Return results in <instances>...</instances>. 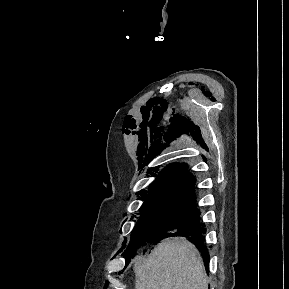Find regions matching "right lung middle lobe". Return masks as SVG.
Masks as SVG:
<instances>
[{"label": "right lung middle lobe", "instance_id": "right-lung-middle-lobe-1", "mask_svg": "<svg viewBox=\"0 0 289 289\" xmlns=\"http://www.w3.org/2000/svg\"><path fill=\"white\" fill-rule=\"evenodd\" d=\"M145 200L147 202L131 234L128 248L147 238L173 235L191 219L196 208L195 196H158Z\"/></svg>", "mask_w": 289, "mask_h": 289}]
</instances>
